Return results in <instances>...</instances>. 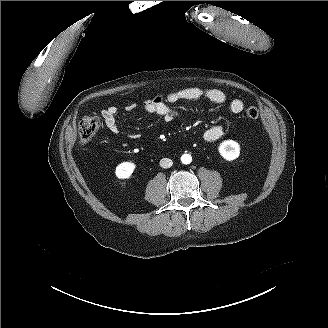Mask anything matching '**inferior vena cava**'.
I'll use <instances>...</instances> for the list:
<instances>
[{
	"label": "inferior vena cava",
	"instance_id": "obj_1",
	"mask_svg": "<svg viewBox=\"0 0 328 328\" xmlns=\"http://www.w3.org/2000/svg\"><path fill=\"white\" fill-rule=\"evenodd\" d=\"M173 162L169 158H163L160 160V166L162 168H170L172 166Z\"/></svg>",
	"mask_w": 328,
	"mask_h": 328
}]
</instances>
